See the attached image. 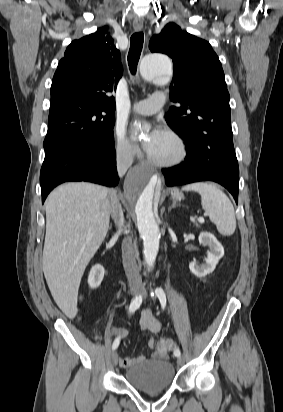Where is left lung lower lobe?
<instances>
[{
    "instance_id": "1",
    "label": "left lung lower lobe",
    "mask_w": 283,
    "mask_h": 412,
    "mask_svg": "<svg viewBox=\"0 0 283 412\" xmlns=\"http://www.w3.org/2000/svg\"><path fill=\"white\" fill-rule=\"evenodd\" d=\"M183 140L187 157L180 165L162 170L165 183L176 186L197 181H215L228 189L238 203L239 175L228 173L213 155L203 149L194 136L189 135Z\"/></svg>"
}]
</instances>
